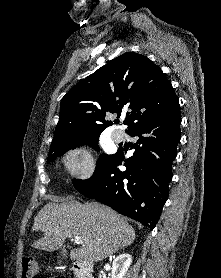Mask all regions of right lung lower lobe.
<instances>
[{
	"instance_id": "1",
	"label": "right lung lower lobe",
	"mask_w": 221,
	"mask_h": 278,
	"mask_svg": "<svg viewBox=\"0 0 221 278\" xmlns=\"http://www.w3.org/2000/svg\"><path fill=\"white\" fill-rule=\"evenodd\" d=\"M180 123L181 113L177 111L127 131L138 137L132 146L133 156L124 160L123 153L117 152L96 178L78 191L152 230L168 198L171 164L181 137ZM122 161L124 171L116 167Z\"/></svg>"
}]
</instances>
